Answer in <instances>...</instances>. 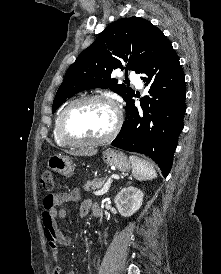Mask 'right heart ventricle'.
<instances>
[{
  "mask_svg": "<svg viewBox=\"0 0 221 274\" xmlns=\"http://www.w3.org/2000/svg\"><path fill=\"white\" fill-rule=\"evenodd\" d=\"M62 111H60L58 113V115L56 116L55 118V122H54V126H53V138H54V141L59 145V146H67L69 145L68 143H66L59 135L58 133V120H59V117H60V114H61Z\"/></svg>",
  "mask_w": 221,
  "mask_h": 274,
  "instance_id": "obj_1",
  "label": "right heart ventricle"
}]
</instances>
